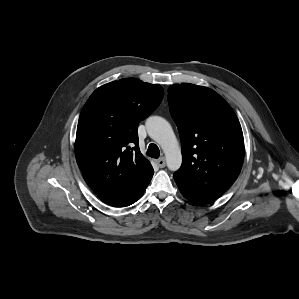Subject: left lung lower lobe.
Masks as SVG:
<instances>
[{"label": "left lung lower lobe", "mask_w": 299, "mask_h": 299, "mask_svg": "<svg viewBox=\"0 0 299 299\" xmlns=\"http://www.w3.org/2000/svg\"><path fill=\"white\" fill-rule=\"evenodd\" d=\"M180 192L183 194L185 198L190 200L191 202L197 203V204H205L214 201L216 198L215 196L197 191L195 189H192L177 180H175Z\"/></svg>", "instance_id": "1"}]
</instances>
